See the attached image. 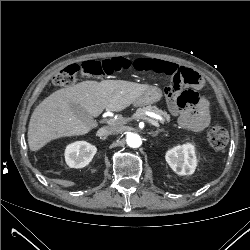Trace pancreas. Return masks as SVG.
Instances as JSON below:
<instances>
[{
  "mask_svg": "<svg viewBox=\"0 0 250 250\" xmlns=\"http://www.w3.org/2000/svg\"><path fill=\"white\" fill-rule=\"evenodd\" d=\"M145 112H153V113L161 116L163 118V122H168L169 123L170 120H171V117L167 112L157 108L156 106H146V107H143V108H139L136 111V113L134 114L133 118L134 119L141 118L142 116H144ZM115 123L118 124V125H121V124L124 123V121L123 120H116Z\"/></svg>",
  "mask_w": 250,
  "mask_h": 250,
  "instance_id": "1",
  "label": "pancreas"
}]
</instances>
